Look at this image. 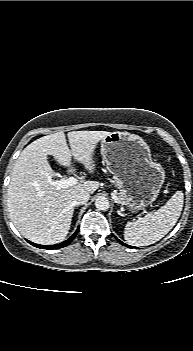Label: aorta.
Listing matches in <instances>:
<instances>
[{"mask_svg":"<svg viewBox=\"0 0 193 351\" xmlns=\"http://www.w3.org/2000/svg\"><path fill=\"white\" fill-rule=\"evenodd\" d=\"M95 207L98 210L106 211L109 209V201L105 196H98L95 200Z\"/></svg>","mask_w":193,"mask_h":351,"instance_id":"1","label":"aorta"}]
</instances>
